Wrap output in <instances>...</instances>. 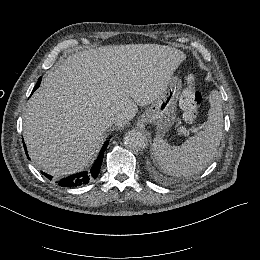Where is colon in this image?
<instances>
[{
  "label": "colon",
  "instance_id": "1",
  "mask_svg": "<svg viewBox=\"0 0 260 260\" xmlns=\"http://www.w3.org/2000/svg\"><path fill=\"white\" fill-rule=\"evenodd\" d=\"M201 102L202 96L196 88L195 80L193 78L186 80V87L179 96V104L183 111V120L186 126H195Z\"/></svg>",
  "mask_w": 260,
  "mask_h": 260
}]
</instances>
